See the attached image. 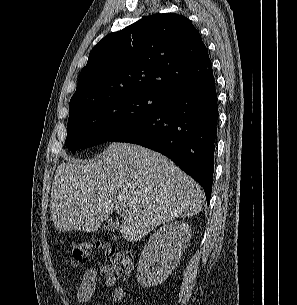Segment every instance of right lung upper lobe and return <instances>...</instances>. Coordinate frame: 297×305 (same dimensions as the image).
I'll list each match as a JSON object with an SVG mask.
<instances>
[{
    "mask_svg": "<svg viewBox=\"0 0 297 305\" xmlns=\"http://www.w3.org/2000/svg\"><path fill=\"white\" fill-rule=\"evenodd\" d=\"M201 36L184 16L145 17L103 38L82 69L69 112L127 92L164 93L213 75Z\"/></svg>",
    "mask_w": 297,
    "mask_h": 305,
    "instance_id": "obj_1",
    "label": "right lung upper lobe"
}]
</instances>
